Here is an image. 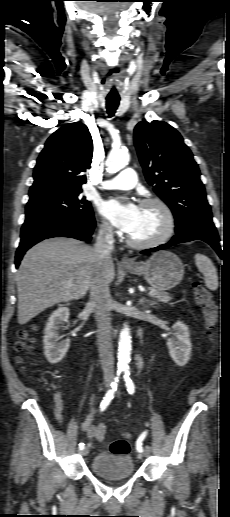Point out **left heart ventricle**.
Here are the masks:
<instances>
[{
	"instance_id": "left-heart-ventricle-1",
	"label": "left heart ventricle",
	"mask_w": 230,
	"mask_h": 517,
	"mask_svg": "<svg viewBox=\"0 0 230 517\" xmlns=\"http://www.w3.org/2000/svg\"><path fill=\"white\" fill-rule=\"evenodd\" d=\"M164 228V217L156 205L141 206L138 222L129 235L140 241L158 236Z\"/></svg>"
}]
</instances>
